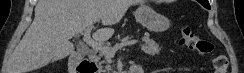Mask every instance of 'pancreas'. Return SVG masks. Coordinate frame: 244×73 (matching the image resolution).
<instances>
[{
  "label": "pancreas",
  "instance_id": "cf45deb5",
  "mask_svg": "<svg viewBox=\"0 0 244 73\" xmlns=\"http://www.w3.org/2000/svg\"><path fill=\"white\" fill-rule=\"evenodd\" d=\"M143 40V44L141 45V51L144 52L147 55L150 56H155L160 54L161 48L159 47V45L152 39H150L149 37H144L142 38ZM104 57V62L105 63H111V59L110 56L107 55L106 53L103 52H94V60L101 64L100 60L101 58Z\"/></svg>",
  "mask_w": 244,
  "mask_h": 73
}]
</instances>
